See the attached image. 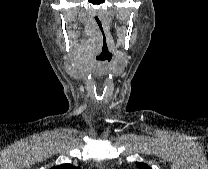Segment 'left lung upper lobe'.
I'll use <instances>...</instances> for the list:
<instances>
[{
	"label": "left lung upper lobe",
	"mask_w": 208,
	"mask_h": 169,
	"mask_svg": "<svg viewBox=\"0 0 208 169\" xmlns=\"http://www.w3.org/2000/svg\"><path fill=\"white\" fill-rule=\"evenodd\" d=\"M136 165H137L138 169H151V167H149L145 163L136 162Z\"/></svg>",
	"instance_id": "obj_1"
}]
</instances>
